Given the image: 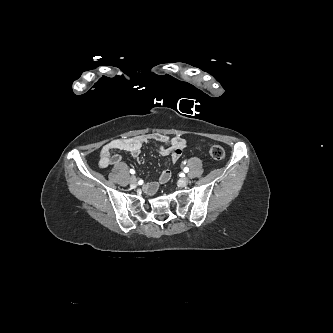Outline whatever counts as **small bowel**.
Returning <instances> with one entry per match:
<instances>
[{
	"label": "small bowel",
	"instance_id": "1",
	"mask_svg": "<svg viewBox=\"0 0 333 333\" xmlns=\"http://www.w3.org/2000/svg\"><path fill=\"white\" fill-rule=\"evenodd\" d=\"M157 143L161 155L169 158V164L174 165L182 156L186 148L185 139L176 136L169 138L160 133L143 134L135 137H126L115 139L102 147L99 154V167L106 168L108 166L118 165L121 161L119 151H126L132 156L137 157L141 153L145 144ZM171 178V171L166 169L159 176V183L165 184ZM158 183L151 181L144 185L146 193L152 195L156 192Z\"/></svg>",
	"mask_w": 333,
	"mask_h": 333
}]
</instances>
